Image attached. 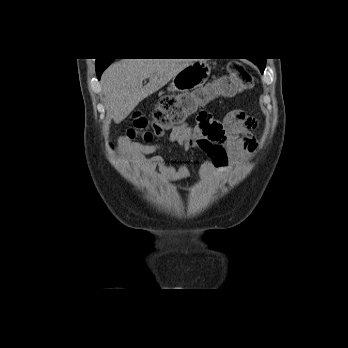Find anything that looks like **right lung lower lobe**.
<instances>
[{"instance_id": "obj_1", "label": "right lung lower lobe", "mask_w": 348, "mask_h": 348, "mask_svg": "<svg viewBox=\"0 0 348 348\" xmlns=\"http://www.w3.org/2000/svg\"><path fill=\"white\" fill-rule=\"evenodd\" d=\"M106 67L107 66H96V72H97L98 79H100V76Z\"/></svg>"}]
</instances>
